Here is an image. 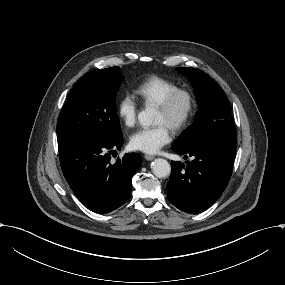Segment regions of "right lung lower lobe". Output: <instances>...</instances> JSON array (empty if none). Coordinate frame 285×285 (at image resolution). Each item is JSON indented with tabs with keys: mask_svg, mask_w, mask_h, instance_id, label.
<instances>
[{
	"mask_svg": "<svg viewBox=\"0 0 285 285\" xmlns=\"http://www.w3.org/2000/svg\"><path fill=\"white\" fill-rule=\"evenodd\" d=\"M123 138H80L58 142L60 164L77 198L91 211L109 213L131 195V179L141 164L136 153L110 163V154L120 150ZM111 150V151H108Z\"/></svg>",
	"mask_w": 285,
	"mask_h": 285,
	"instance_id": "1",
	"label": "right lung lower lobe"
}]
</instances>
